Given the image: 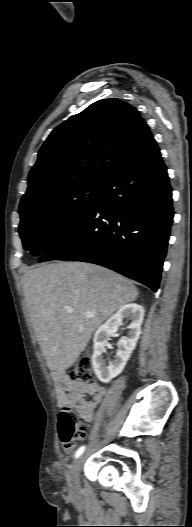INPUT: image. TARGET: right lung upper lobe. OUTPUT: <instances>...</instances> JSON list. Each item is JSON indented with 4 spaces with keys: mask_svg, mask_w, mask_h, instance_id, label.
<instances>
[{
    "mask_svg": "<svg viewBox=\"0 0 192 527\" xmlns=\"http://www.w3.org/2000/svg\"><path fill=\"white\" fill-rule=\"evenodd\" d=\"M153 140L136 108L117 98L99 100L52 131L20 204L85 182L105 185Z\"/></svg>",
    "mask_w": 192,
    "mask_h": 527,
    "instance_id": "obj_1",
    "label": "right lung upper lobe"
}]
</instances>
